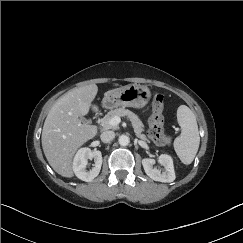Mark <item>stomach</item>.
Wrapping results in <instances>:
<instances>
[{
	"label": "stomach",
	"instance_id": "obj_1",
	"mask_svg": "<svg viewBox=\"0 0 243 243\" xmlns=\"http://www.w3.org/2000/svg\"><path fill=\"white\" fill-rule=\"evenodd\" d=\"M150 98L151 91L148 86L130 84L104 97L103 105L107 108L118 106L143 108L148 104Z\"/></svg>",
	"mask_w": 243,
	"mask_h": 243
}]
</instances>
